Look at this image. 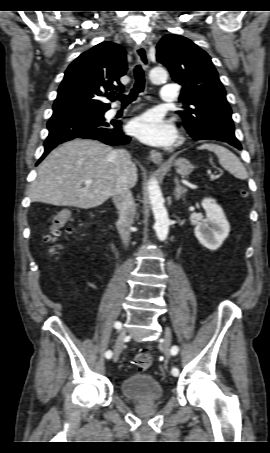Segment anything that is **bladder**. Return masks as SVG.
I'll return each instance as SVG.
<instances>
[{
  "label": "bladder",
  "instance_id": "31cf9c89",
  "mask_svg": "<svg viewBox=\"0 0 270 453\" xmlns=\"http://www.w3.org/2000/svg\"><path fill=\"white\" fill-rule=\"evenodd\" d=\"M122 394L135 401H157L163 398L164 388L152 375L134 373L121 383Z\"/></svg>",
  "mask_w": 270,
  "mask_h": 453
}]
</instances>
